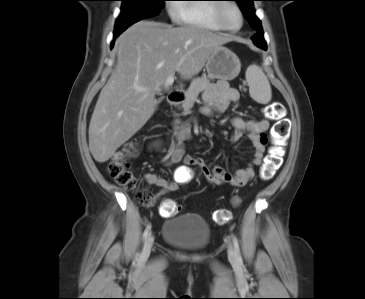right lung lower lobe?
<instances>
[{"mask_svg":"<svg viewBox=\"0 0 365 299\" xmlns=\"http://www.w3.org/2000/svg\"><path fill=\"white\" fill-rule=\"evenodd\" d=\"M135 22H127L121 25H116L115 31H114V38H117L123 31H125L129 26L134 24ZM113 47V43H112Z\"/></svg>","mask_w":365,"mask_h":299,"instance_id":"right-lung-lower-lobe-1","label":"right lung lower lobe"}]
</instances>
